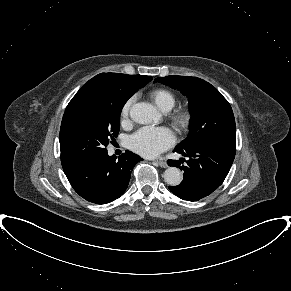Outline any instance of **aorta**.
<instances>
[{"label":"aorta","mask_w":291,"mask_h":291,"mask_svg":"<svg viewBox=\"0 0 291 291\" xmlns=\"http://www.w3.org/2000/svg\"><path fill=\"white\" fill-rule=\"evenodd\" d=\"M130 117L136 123L149 124L158 118V112L151 104L139 102L131 107ZM182 179V173L177 167H169L164 172V180L171 186L180 184Z\"/></svg>","instance_id":"1"}]
</instances>
